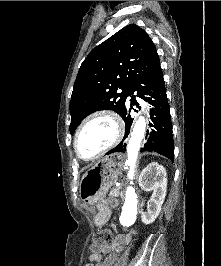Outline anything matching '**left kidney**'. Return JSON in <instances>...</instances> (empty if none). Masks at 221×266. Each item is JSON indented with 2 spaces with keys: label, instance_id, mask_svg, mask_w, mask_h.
I'll return each instance as SVG.
<instances>
[{
  "label": "left kidney",
  "instance_id": "obj_1",
  "mask_svg": "<svg viewBox=\"0 0 221 266\" xmlns=\"http://www.w3.org/2000/svg\"><path fill=\"white\" fill-rule=\"evenodd\" d=\"M139 184L143 189H153L147 204V212L141 216L142 222L151 224L158 217L167 192L166 169L157 162H151L141 172Z\"/></svg>",
  "mask_w": 221,
  "mask_h": 266
}]
</instances>
